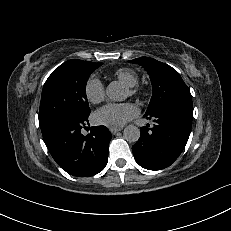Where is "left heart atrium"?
<instances>
[{"label":"left heart atrium","instance_id":"1","mask_svg":"<svg viewBox=\"0 0 231 231\" xmlns=\"http://www.w3.org/2000/svg\"><path fill=\"white\" fill-rule=\"evenodd\" d=\"M137 110L130 103H108L94 114L96 124L108 128H121L136 116Z\"/></svg>","mask_w":231,"mask_h":231}]
</instances>
